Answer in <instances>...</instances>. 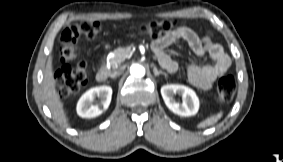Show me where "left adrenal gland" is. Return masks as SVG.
Segmentation results:
<instances>
[{
	"mask_svg": "<svg viewBox=\"0 0 283 162\" xmlns=\"http://www.w3.org/2000/svg\"><path fill=\"white\" fill-rule=\"evenodd\" d=\"M153 73L155 76H159L160 74L165 75V77H168L167 73L163 72L162 70H158L156 66H153Z\"/></svg>",
	"mask_w": 283,
	"mask_h": 162,
	"instance_id": "a2214340",
	"label": "left adrenal gland"
}]
</instances>
